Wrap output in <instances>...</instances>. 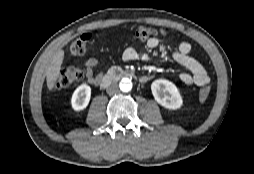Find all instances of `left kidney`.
<instances>
[{
	"mask_svg": "<svg viewBox=\"0 0 254 174\" xmlns=\"http://www.w3.org/2000/svg\"><path fill=\"white\" fill-rule=\"evenodd\" d=\"M154 99L164 108L176 110L183 104L182 96L172 82L165 79H157L151 84Z\"/></svg>",
	"mask_w": 254,
	"mask_h": 174,
	"instance_id": "1",
	"label": "left kidney"
}]
</instances>
